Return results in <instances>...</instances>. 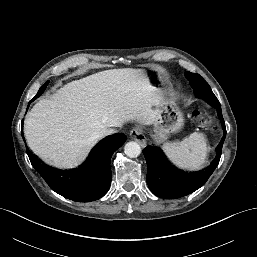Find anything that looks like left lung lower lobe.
Masks as SVG:
<instances>
[{
  "mask_svg": "<svg viewBox=\"0 0 257 257\" xmlns=\"http://www.w3.org/2000/svg\"><path fill=\"white\" fill-rule=\"evenodd\" d=\"M224 129V136L216 148V156L211 165L196 172L182 171L173 166L157 146H147L143 154L147 162V183L153 194L164 199L186 196L202 187L218 166L222 146L226 137L221 105L216 106Z\"/></svg>",
  "mask_w": 257,
  "mask_h": 257,
  "instance_id": "left-lung-lower-lobe-1",
  "label": "left lung lower lobe"
}]
</instances>
